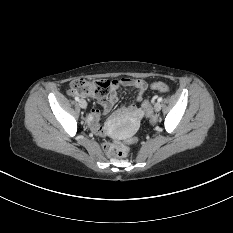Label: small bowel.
<instances>
[{
  "label": "small bowel",
  "instance_id": "c3829d8e",
  "mask_svg": "<svg viewBox=\"0 0 233 233\" xmlns=\"http://www.w3.org/2000/svg\"><path fill=\"white\" fill-rule=\"evenodd\" d=\"M132 88L136 90L135 102L129 106H123L119 113L122 115H128L130 119L135 122L142 115L143 110L139 108L138 104L142 101L143 95L147 89V83L141 79H131V78H120L118 80H113L110 86L109 96L99 100L103 112L108 113L113 108L114 104L119 99V89ZM88 122L90 126L97 132H103V128L100 126V111L96 108H92L88 114Z\"/></svg>",
  "mask_w": 233,
  "mask_h": 233
}]
</instances>
